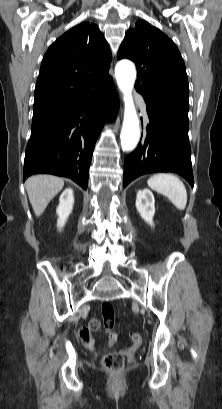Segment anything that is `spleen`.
I'll return each instance as SVG.
<instances>
[{
	"label": "spleen",
	"instance_id": "3e777b00",
	"mask_svg": "<svg viewBox=\"0 0 222 409\" xmlns=\"http://www.w3.org/2000/svg\"><path fill=\"white\" fill-rule=\"evenodd\" d=\"M148 186L166 196L178 210H184L187 204V191L183 182L171 174H156L149 178Z\"/></svg>",
	"mask_w": 222,
	"mask_h": 409
}]
</instances>
